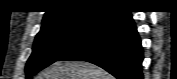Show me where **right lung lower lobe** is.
Returning <instances> with one entry per match:
<instances>
[{"instance_id": "98d812e1", "label": "right lung lower lobe", "mask_w": 177, "mask_h": 79, "mask_svg": "<svg viewBox=\"0 0 177 79\" xmlns=\"http://www.w3.org/2000/svg\"><path fill=\"white\" fill-rule=\"evenodd\" d=\"M96 64L117 79H143L141 40L130 12L116 9L104 14L98 25L57 61Z\"/></svg>"}]
</instances>
